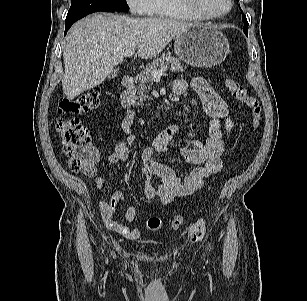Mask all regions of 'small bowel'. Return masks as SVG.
I'll return each mask as SVG.
<instances>
[{
    "mask_svg": "<svg viewBox=\"0 0 307 301\" xmlns=\"http://www.w3.org/2000/svg\"><path fill=\"white\" fill-rule=\"evenodd\" d=\"M188 88L193 89L199 95L206 113L213 119V125L205 141L188 137L177 125L167 126L155 136L152 145L142 152L143 173L146 176L145 198L147 200L159 199L163 205L195 193L204 186L211 175L221 171L224 138L228 137L235 127L228 104L206 80L200 77L189 82L178 79L173 84V91L177 95L183 94ZM134 120L135 113L127 111L120 122L124 138L118 142L108 156L106 163L108 167L126 162L130 157L129 145L133 141L131 127ZM175 140H179L181 144L173 146L172 143ZM170 152L176 153L194 166L183 179L179 178L170 167L155 159V153ZM105 183L106 180L102 176L96 179V185L100 191L105 189ZM123 200L122 192L113 193L108 200L100 203V214L110 230L134 240L139 237V230L123 225L117 220L119 206ZM136 214L137 209L129 207L125 213V221L132 222Z\"/></svg>",
    "mask_w": 307,
    "mask_h": 301,
    "instance_id": "c3829d8e",
    "label": "small bowel"
}]
</instances>
